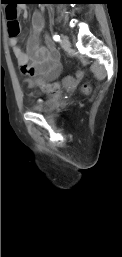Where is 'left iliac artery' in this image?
I'll return each mask as SVG.
<instances>
[{"mask_svg": "<svg viewBox=\"0 0 122 257\" xmlns=\"http://www.w3.org/2000/svg\"><path fill=\"white\" fill-rule=\"evenodd\" d=\"M53 40L54 41H60V36L57 35V34L53 35Z\"/></svg>", "mask_w": 122, "mask_h": 257, "instance_id": "obj_1", "label": "left iliac artery"}]
</instances>
